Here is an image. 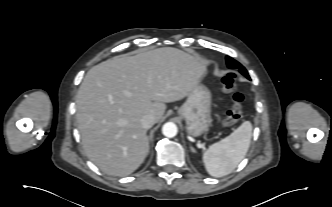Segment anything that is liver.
Wrapping results in <instances>:
<instances>
[{"label":"liver","mask_w":332,"mask_h":207,"mask_svg":"<svg viewBox=\"0 0 332 207\" xmlns=\"http://www.w3.org/2000/svg\"><path fill=\"white\" fill-rule=\"evenodd\" d=\"M197 56L166 47L115 56L92 67L79 87L76 119L87 157L104 173L126 176L148 152L144 115L158 122L206 74Z\"/></svg>","instance_id":"6515ba94"}]
</instances>
